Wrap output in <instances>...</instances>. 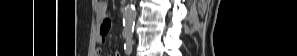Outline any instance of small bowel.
I'll list each match as a JSON object with an SVG mask.
<instances>
[{
	"instance_id": "small-bowel-1",
	"label": "small bowel",
	"mask_w": 297,
	"mask_h": 56,
	"mask_svg": "<svg viewBox=\"0 0 297 56\" xmlns=\"http://www.w3.org/2000/svg\"><path fill=\"white\" fill-rule=\"evenodd\" d=\"M98 16L100 18V31H99V42L104 43L106 41L107 35L111 29V22L107 18V5L105 2H99L98 5ZM96 55H100V49L96 50ZM119 56V54H116Z\"/></svg>"
}]
</instances>
